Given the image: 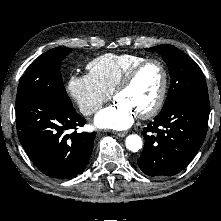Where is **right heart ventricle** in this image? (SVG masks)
I'll return each mask as SVG.
<instances>
[{
	"instance_id": "obj_1",
	"label": "right heart ventricle",
	"mask_w": 221,
	"mask_h": 221,
	"mask_svg": "<svg viewBox=\"0 0 221 221\" xmlns=\"http://www.w3.org/2000/svg\"><path fill=\"white\" fill-rule=\"evenodd\" d=\"M144 60V56L136 54L107 53L89 62L87 69L103 88L113 93L126 73Z\"/></svg>"
}]
</instances>
